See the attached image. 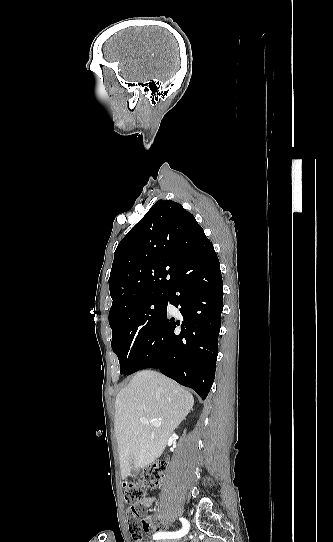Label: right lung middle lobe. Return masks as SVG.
<instances>
[{
    "label": "right lung middle lobe",
    "instance_id": "right-lung-middle-lobe-1",
    "mask_svg": "<svg viewBox=\"0 0 333 542\" xmlns=\"http://www.w3.org/2000/svg\"><path fill=\"white\" fill-rule=\"evenodd\" d=\"M167 295L129 308L109 319L111 346L120 362V373L128 375L134 362L152 341L160 321L167 315Z\"/></svg>",
    "mask_w": 333,
    "mask_h": 542
}]
</instances>
